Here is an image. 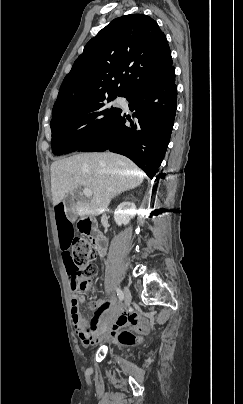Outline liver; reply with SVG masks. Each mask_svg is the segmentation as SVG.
<instances>
[{"label": "liver", "instance_id": "liver-1", "mask_svg": "<svg viewBox=\"0 0 243 404\" xmlns=\"http://www.w3.org/2000/svg\"><path fill=\"white\" fill-rule=\"evenodd\" d=\"M144 172L131 160L104 152L78 154L51 164V192L54 206L63 202L67 194L84 186L93 194L90 204L77 202L75 214L80 218L99 216L107 210L112 198L142 184Z\"/></svg>", "mask_w": 243, "mask_h": 404}]
</instances>
